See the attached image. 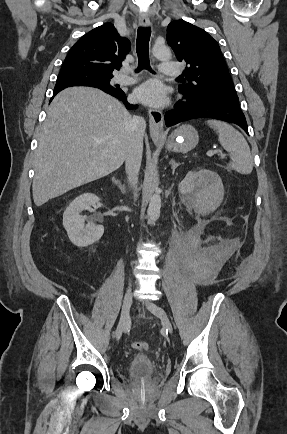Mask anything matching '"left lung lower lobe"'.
Here are the masks:
<instances>
[{
  "label": "left lung lower lobe",
  "mask_w": 287,
  "mask_h": 434,
  "mask_svg": "<svg viewBox=\"0 0 287 434\" xmlns=\"http://www.w3.org/2000/svg\"><path fill=\"white\" fill-rule=\"evenodd\" d=\"M194 118H213L239 125L248 133L247 122L238 99L193 94L183 96L174 109L165 114L166 126Z\"/></svg>",
  "instance_id": "0a47b994"
}]
</instances>
